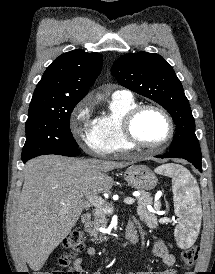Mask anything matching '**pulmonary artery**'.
I'll use <instances>...</instances> for the list:
<instances>
[{"label": "pulmonary artery", "mask_w": 215, "mask_h": 274, "mask_svg": "<svg viewBox=\"0 0 215 274\" xmlns=\"http://www.w3.org/2000/svg\"><path fill=\"white\" fill-rule=\"evenodd\" d=\"M113 96H118V97H130L132 96L131 93L127 90H116L113 93Z\"/></svg>", "instance_id": "1"}]
</instances>
